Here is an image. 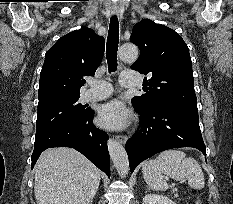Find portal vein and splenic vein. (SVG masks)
Masks as SVG:
<instances>
[{"mask_svg":"<svg viewBox=\"0 0 233 204\" xmlns=\"http://www.w3.org/2000/svg\"><path fill=\"white\" fill-rule=\"evenodd\" d=\"M165 180H168V178H167V177H165Z\"/></svg>","mask_w":233,"mask_h":204,"instance_id":"18ae733b","label":"portal vein and splenic vein"}]
</instances>
